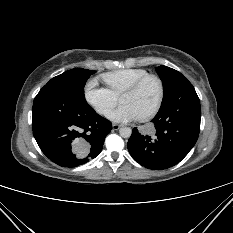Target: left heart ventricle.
Masks as SVG:
<instances>
[{
    "label": "left heart ventricle",
    "instance_id": "b2bd125f",
    "mask_svg": "<svg viewBox=\"0 0 233 233\" xmlns=\"http://www.w3.org/2000/svg\"><path fill=\"white\" fill-rule=\"evenodd\" d=\"M159 98V84L156 80H148L138 91L120 96L122 104L131 105L139 117L149 113Z\"/></svg>",
    "mask_w": 233,
    "mask_h": 233
}]
</instances>
